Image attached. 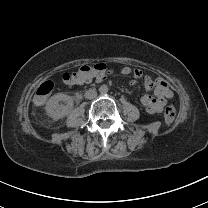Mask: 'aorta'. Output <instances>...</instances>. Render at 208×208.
Returning a JSON list of instances; mask_svg holds the SVG:
<instances>
[{
  "instance_id": "1",
  "label": "aorta",
  "mask_w": 208,
  "mask_h": 208,
  "mask_svg": "<svg viewBox=\"0 0 208 208\" xmlns=\"http://www.w3.org/2000/svg\"><path fill=\"white\" fill-rule=\"evenodd\" d=\"M98 90H99V92H100L101 94H105V93L108 92L109 87H108L107 84L102 83V84L99 85Z\"/></svg>"
}]
</instances>
